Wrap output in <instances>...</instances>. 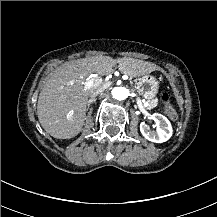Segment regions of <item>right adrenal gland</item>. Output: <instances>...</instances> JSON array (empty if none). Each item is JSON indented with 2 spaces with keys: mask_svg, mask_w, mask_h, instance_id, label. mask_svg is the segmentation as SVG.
<instances>
[{
  "mask_svg": "<svg viewBox=\"0 0 217 217\" xmlns=\"http://www.w3.org/2000/svg\"><path fill=\"white\" fill-rule=\"evenodd\" d=\"M96 100H97L96 98H92V99L88 100L87 109H89V108H90V105H91L93 102H95Z\"/></svg>",
  "mask_w": 217,
  "mask_h": 217,
  "instance_id": "right-adrenal-gland-1",
  "label": "right adrenal gland"
}]
</instances>
